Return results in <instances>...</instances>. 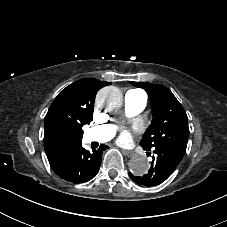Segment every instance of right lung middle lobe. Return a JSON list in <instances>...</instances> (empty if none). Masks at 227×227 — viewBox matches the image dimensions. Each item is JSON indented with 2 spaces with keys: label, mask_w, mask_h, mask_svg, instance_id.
<instances>
[{
  "label": "right lung middle lobe",
  "mask_w": 227,
  "mask_h": 227,
  "mask_svg": "<svg viewBox=\"0 0 227 227\" xmlns=\"http://www.w3.org/2000/svg\"><path fill=\"white\" fill-rule=\"evenodd\" d=\"M93 109L76 101L64 103L53 114L48 129L54 134L75 132L82 137V126L92 121Z\"/></svg>",
  "instance_id": "right-lung-middle-lobe-1"
}]
</instances>
